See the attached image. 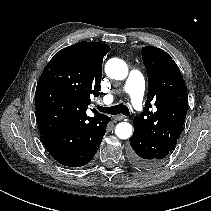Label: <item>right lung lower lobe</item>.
Instances as JSON below:
<instances>
[{
  "label": "right lung lower lobe",
  "mask_w": 211,
  "mask_h": 211,
  "mask_svg": "<svg viewBox=\"0 0 211 211\" xmlns=\"http://www.w3.org/2000/svg\"><path fill=\"white\" fill-rule=\"evenodd\" d=\"M35 105L46 149L60 164L80 167L89 163L106 132L110 117L94 112L88 105L62 89L38 83Z\"/></svg>",
  "instance_id": "right-lung-lower-lobe-1"
}]
</instances>
